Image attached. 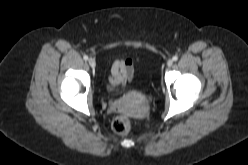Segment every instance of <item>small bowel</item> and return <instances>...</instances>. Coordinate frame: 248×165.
Wrapping results in <instances>:
<instances>
[{
    "label": "small bowel",
    "mask_w": 248,
    "mask_h": 165,
    "mask_svg": "<svg viewBox=\"0 0 248 165\" xmlns=\"http://www.w3.org/2000/svg\"><path fill=\"white\" fill-rule=\"evenodd\" d=\"M134 76V65L131 58L117 59L112 63L108 85L111 89L126 86Z\"/></svg>",
    "instance_id": "small-bowel-1"
}]
</instances>
